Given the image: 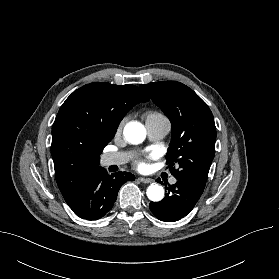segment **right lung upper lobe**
Returning a JSON list of instances; mask_svg holds the SVG:
<instances>
[{
	"label": "right lung upper lobe",
	"mask_w": 279,
	"mask_h": 279,
	"mask_svg": "<svg viewBox=\"0 0 279 279\" xmlns=\"http://www.w3.org/2000/svg\"><path fill=\"white\" fill-rule=\"evenodd\" d=\"M147 101L137 86L101 82L87 84L66 99L53 123L51 152L57 185L67 203L99 167L100 154L124 115Z\"/></svg>",
	"instance_id": "1"
}]
</instances>
